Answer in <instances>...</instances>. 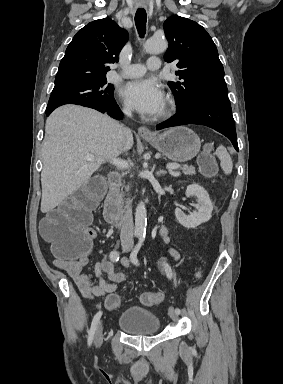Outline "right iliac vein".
<instances>
[{
    "label": "right iliac vein",
    "instance_id": "1",
    "mask_svg": "<svg viewBox=\"0 0 283 384\" xmlns=\"http://www.w3.org/2000/svg\"><path fill=\"white\" fill-rule=\"evenodd\" d=\"M125 252H128L129 251V247H124L123 249ZM103 342V323L100 322L99 323V326L96 330V333H95V337H94V343H95V346L97 348H99L101 346Z\"/></svg>",
    "mask_w": 283,
    "mask_h": 384
}]
</instances>
